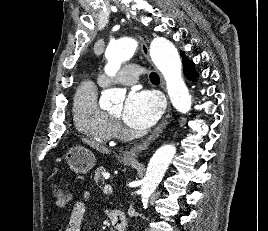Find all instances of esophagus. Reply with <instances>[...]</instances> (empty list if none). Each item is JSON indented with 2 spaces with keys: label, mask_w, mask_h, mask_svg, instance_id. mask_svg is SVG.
Wrapping results in <instances>:
<instances>
[{
  "label": "esophagus",
  "mask_w": 268,
  "mask_h": 231,
  "mask_svg": "<svg viewBox=\"0 0 268 231\" xmlns=\"http://www.w3.org/2000/svg\"><path fill=\"white\" fill-rule=\"evenodd\" d=\"M140 42H141L142 53L149 60V50L147 43L141 37ZM170 117H171V105L169 103L165 116L163 117L159 125L154 129V131L141 143L134 145L130 149L124 151L122 154V159L126 161H135L136 157L141 152L146 150L162 134V132L169 123Z\"/></svg>",
  "instance_id": "34e87169"
}]
</instances>
